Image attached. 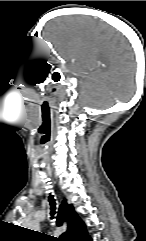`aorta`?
I'll use <instances>...</instances> for the list:
<instances>
[{
	"label": "aorta",
	"instance_id": "aorta-1",
	"mask_svg": "<svg viewBox=\"0 0 146 241\" xmlns=\"http://www.w3.org/2000/svg\"><path fill=\"white\" fill-rule=\"evenodd\" d=\"M31 227H32V228H36V225L32 223V224H31Z\"/></svg>",
	"mask_w": 146,
	"mask_h": 241
}]
</instances>
